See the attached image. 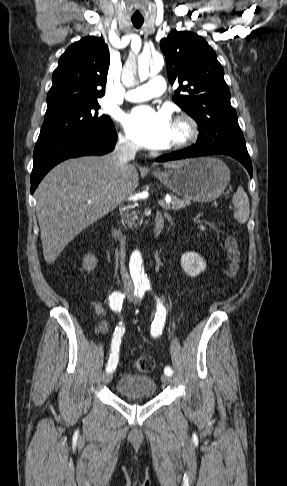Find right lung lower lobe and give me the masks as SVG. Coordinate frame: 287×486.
I'll return each mask as SVG.
<instances>
[{
	"mask_svg": "<svg viewBox=\"0 0 287 486\" xmlns=\"http://www.w3.org/2000/svg\"><path fill=\"white\" fill-rule=\"evenodd\" d=\"M116 138V130L112 125L102 133L89 137L37 141L33 154L31 193H34L42 178L58 163L72 157L106 154L114 149Z\"/></svg>",
	"mask_w": 287,
	"mask_h": 486,
	"instance_id": "right-lung-lower-lobe-1",
	"label": "right lung lower lobe"
}]
</instances>
